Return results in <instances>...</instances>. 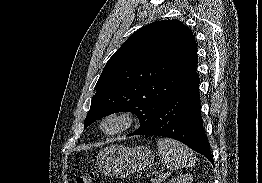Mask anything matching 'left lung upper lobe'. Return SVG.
I'll list each match as a JSON object with an SVG mask.
<instances>
[{
	"label": "left lung upper lobe",
	"mask_w": 262,
	"mask_h": 183,
	"mask_svg": "<svg viewBox=\"0 0 262 183\" xmlns=\"http://www.w3.org/2000/svg\"><path fill=\"white\" fill-rule=\"evenodd\" d=\"M191 29L178 20L150 23L112 55L98 79L84 128L117 112H132L144 130L160 104L197 63Z\"/></svg>",
	"instance_id": "1"
}]
</instances>
